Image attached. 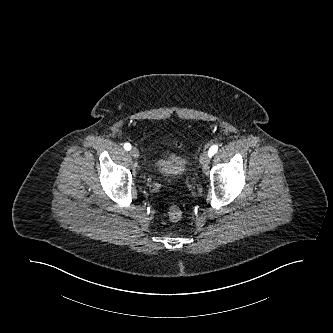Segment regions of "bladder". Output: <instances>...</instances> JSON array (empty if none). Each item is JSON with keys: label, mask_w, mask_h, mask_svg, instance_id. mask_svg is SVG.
Here are the masks:
<instances>
[{"label": "bladder", "mask_w": 333, "mask_h": 333, "mask_svg": "<svg viewBox=\"0 0 333 333\" xmlns=\"http://www.w3.org/2000/svg\"><path fill=\"white\" fill-rule=\"evenodd\" d=\"M187 167V159L180 155L159 157L153 162L154 171L165 178H180L185 174Z\"/></svg>", "instance_id": "obj_1"}]
</instances>
